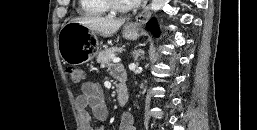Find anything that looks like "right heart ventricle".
Wrapping results in <instances>:
<instances>
[{
  "mask_svg": "<svg viewBox=\"0 0 257 130\" xmlns=\"http://www.w3.org/2000/svg\"><path fill=\"white\" fill-rule=\"evenodd\" d=\"M78 12L87 16H100L109 12L102 0H79Z\"/></svg>",
  "mask_w": 257,
  "mask_h": 130,
  "instance_id": "1",
  "label": "right heart ventricle"
}]
</instances>
